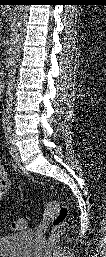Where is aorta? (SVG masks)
<instances>
[{"instance_id": "obj_1", "label": "aorta", "mask_w": 106, "mask_h": 257, "mask_svg": "<svg viewBox=\"0 0 106 257\" xmlns=\"http://www.w3.org/2000/svg\"><path fill=\"white\" fill-rule=\"evenodd\" d=\"M27 5H18L17 6V18H16V29L11 35V47L9 50L10 57V70L8 74V86H7V99H6V110L9 112L12 105V91L15 83V74H16V63L19 57L20 52V39L21 33L19 29L25 24L27 19Z\"/></svg>"}]
</instances>
